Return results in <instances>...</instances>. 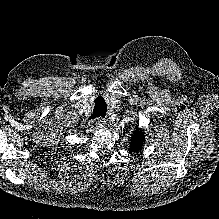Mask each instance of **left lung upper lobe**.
I'll list each match as a JSON object with an SVG mask.
<instances>
[{"mask_svg":"<svg viewBox=\"0 0 219 219\" xmlns=\"http://www.w3.org/2000/svg\"><path fill=\"white\" fill-rule=\"evenodd\" d=\"M144 144V135L142 131H139L138 127L137 130L134 131V135L131 139L130 149L133 152H137L142 149Z\"/></svg>","mask_w":219,"mask_h":219,"instance_id":"left-lung-upper-lobe-1","label":"left lung upper lobe"}]
</instances>
